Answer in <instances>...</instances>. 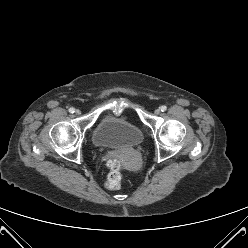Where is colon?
I'll return each mask as SVG.
<instances>
[{
	"label": "colon",
	"instance_id": "colon-1",
	"mask_svg": "<svg viewBox=\"0 0 248 248\" xmlns=\"http://www.w3.org/2000/svg\"><path fill=\"white\" fill-rule=\"evenodd\" d=\"M108 166L110 172L107 178L106 186L111 190L118 189L124 177V169L120 162L116 159H110L108 161Z\"/></svg>",
	"mask_w": 248,
	"mask_h": 248
}]
</instances>
